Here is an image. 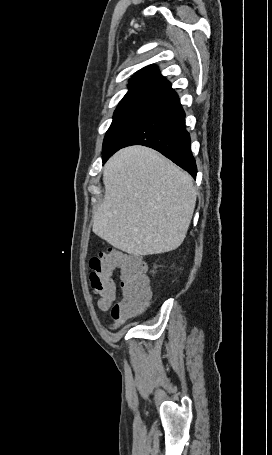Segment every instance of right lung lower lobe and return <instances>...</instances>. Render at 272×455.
<instances>
[{"label":"right lung lower lobe","mask_w":272,"mask_h":455,"mask_svg":"<svg viewBox=\"0 0 272 455\" xmlns=\"http://www.w3.org/2000/svg\"><path fill=\"white\" fill-rule=\"evenodd\" d=\"M184 118L185 112L178 98L130 129L103 155V163L117 150L139 144L161 152L196 178L197 167Z\"/></svg>","instance_id":"98d812e1"}]
</instances>
